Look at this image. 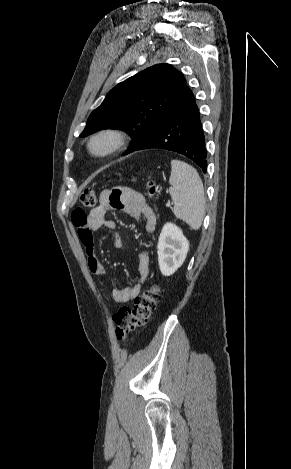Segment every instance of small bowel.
Masks as SVG:
<instances>
[{"label":"small bowel","instance_id":"1","mask_svg":"<svg viewBox=\"0 0 291 469\" xmlns=\"http://www.w3.org/2000/svg\"><path fill=\"white\" fill-rule=\"evenodd\" d=\"M108 210L122 211L139 222L144 220L147 231H151L155 225V216L147 206L143 195L128 187H116L111 190H104L101 193L98 206L93 208L88 214L84 211L73 213L72 223L77 228L79 238L85 248L88 268L90 272L96 276H104L106 271L97 258L92 231L104 226L108 230L115 232V247L122 248L125 245L117 232L116 222L106 219ZM138 269V281L124 288H115L113 290L112 295L116 303H126L139 294L142 285L149 276V255L147 251L140 253Z\"/></svg>","mask_w":291,"mask_h":469}]
</instances>
